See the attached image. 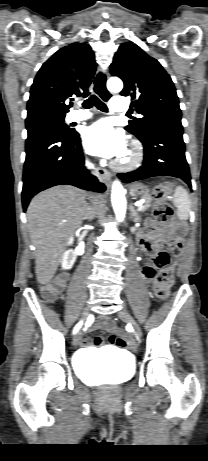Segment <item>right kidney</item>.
<instances>
[{"label": "right kidney", "mask_w": 208, "mask_h": 461, "mask_svg": "<svg viewBox=\"0 0 208 461\" xmlns=\"http://www.w3.org/2000/svg\"><path fill=\"white\" fill-rule=\"evenodd\" d=\"M73 243V238L69 239L68 244L71 245ZM84 253V244H80L76 247L75 250L69 249L64 252L62 256L61 266L64 270H69L73 267L74 262L76 260L77 255H82Z\"/></svg>", "instance_id": "1"}]
</instances>
